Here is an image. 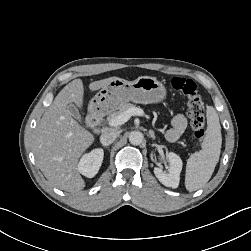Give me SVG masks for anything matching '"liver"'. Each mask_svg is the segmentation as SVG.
Here are the masks:
<instances>
[{
	"instance_id": "obj_1",
	"label": "liver",
	"mask_w": 251,
	"mask_h": 251,
	"mask_svg": "<svg viewBox=\"0 0 251 251\" xmlns=\"http://www.w3.org/2000/svg\"><path fill=\"white\" fill-rule=\"evenodd\" d=\"M116 79L120 78L91 82L89 89L99 90ZM83 101V82L75 79L58 93L44 112L33 138V152L40 170L53 186L68 192L85 187L78 171V159L95 140L94 135L73 119L68 110L73 103L81 108Z\"/></svg>"
}]
</instances>
